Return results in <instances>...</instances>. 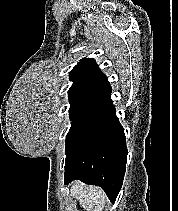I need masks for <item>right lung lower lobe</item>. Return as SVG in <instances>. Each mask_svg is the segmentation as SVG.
<instances>
[{
	"mask_svg": "<svg viewBox=\"0 0 178 211\" xmlns=\"http://www.w3.org/2000/svg\"><path fill=\"white\" fill-rule=\"evenodd\" d=\"M64 184L100 186L114 203L122 186L127 147L109 97L96 103L66 140Z\"/></svg>",
	"mask_w": 178,
	"mask_h": 211,
	"instance_id": "1",
	"label": "right lung lower lobe"
}]
</instances>
